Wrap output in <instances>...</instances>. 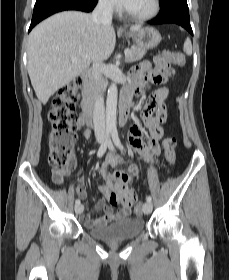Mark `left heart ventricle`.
<instances>
[{
  "label": "left heart ventricle",
  "instance_id": "obj_1",
  "mask_svg": "<svg viewBox=\"0 0 229 280\" xmlns=\"http://www.w3.org/2000/svg\"><path fill=\"white\" fill-rule=\"evenodd\" d=\"M152 5V0H131L129 5L125 7L128 11L133 13H145Z\"/></svg>",
  "mask_w": 229,
  "mask_h": 280
}]
</instances>
